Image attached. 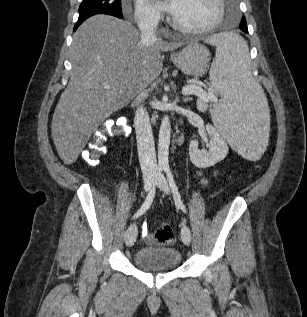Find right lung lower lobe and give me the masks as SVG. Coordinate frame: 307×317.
Listing matches in <instances>:
<instances>
[{
    "instance_id": "obj_1",
    "label": "right lung lower lobe",
    "mask_w": 307,
    "mask_h": 317,
    "mask_svg": "<svg viewBox=\"0 0 307 317\" xmlns=\"http://www.w3.org/2000/svg\"><path fill=\"white\" fill-rule=\"evenodd\" d=\"M87 18H89V17H85V18L78 19L77 24L74 26V31H75V30L79 27V25H81L82 22H84Z\"/></svg>"
}]
</instances>
